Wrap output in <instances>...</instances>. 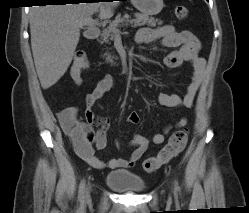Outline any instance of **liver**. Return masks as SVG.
I'll use <instances>...</instances> for the list:
<instances>
[{
    "instance_id": "6515ba94",
    "label": "liver",
    "mask_w": 249,
    "mask_h": 213,
    "mask_svg": "<svg viewBox=\"0 0 249 213\" xmlns=\"http://www.w3.org/2000/svg\"><path fill=\"white\" fill-rule=\"evenodd\" d=\"M117 5V2H93L31 8V48L43 89L53 86L66 73L84 20L96 12L103 19L110 18Z\"/></svg>"
}]
</instances>
